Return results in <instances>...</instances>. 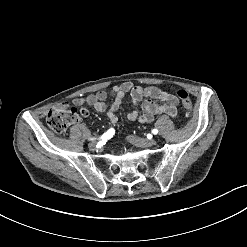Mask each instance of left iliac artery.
<instances>
[{
    "label": "left iliac artery",
    "instance_id": "1",
    "mask_svg": "<svg viewBox=\"0 0 247 247\" xmlns=\"http://www.w3.org/2000/svg\"><path fill=\"white\" fill-rule=\"evenodd\" d=\"M152 133H153V134H157V133H158V130H157V129H153V130H152Z\"/></svg>",
    "mask_w": 247,
    "mask_h": 247
}]
</instances>
